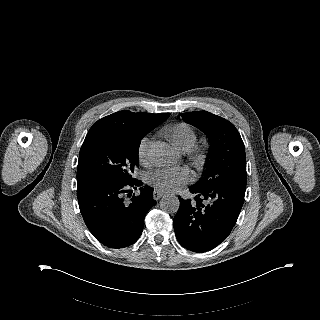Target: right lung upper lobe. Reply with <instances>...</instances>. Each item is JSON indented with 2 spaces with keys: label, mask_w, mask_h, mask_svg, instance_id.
<instances>
[{
  "label": "right lung upper lobe",
  "mask_w": 320,
  "mask_h": 320,
  "mask_svg": "<svg viewBox=\"0 0 320 320\" xmlns=\"http://www.w3.org/2000/svg\"><path fill=\"white\" fill-rule=\"evenodd\" d=\"M169 113L149 114L119 111L98 120L89 130L82 147L103 139H136L144 137L169 117ZM81 147V148H82Z\"/></svg>",
  "instance_id": "right-lung-upper-lobe-1"
}]
</instances>
